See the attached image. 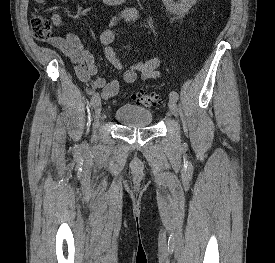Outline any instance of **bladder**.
Listing matches in <instances>:
<instances>
[{
    "label": "bladder",
    "mask_w": 275,
    "mask_h": 263,
    "mask_svg": "<svg viewBox=\"0 0 275 263\" xmlns=\"http://www.w3.org/2000/svg\"><path fill=\"white\" fill-rule=\"evenodd\" d=\"M114 117L123 126L147 127L152 122L153 114L147 108L123 104L115 110Z\"/></svg>",
    "instance_id": "1"
}]
</instances>
